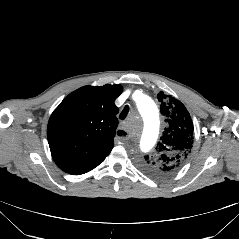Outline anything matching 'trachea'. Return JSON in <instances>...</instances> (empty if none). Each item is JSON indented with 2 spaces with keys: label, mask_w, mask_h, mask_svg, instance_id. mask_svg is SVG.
<instances>
[{
  "label": "trachea",
  "mask_w": 239,
  "mask_h": 239,
  "mask_svg": "<svg viewBox=\"0 0 239 239\" xmlns=\"http://www.w3.org/2000/svg\"><path fill=\"white\" fill-rule=\"evenodd\" d=\"M128 112H129V106L126 105V106L123 108L122 112L120 113L119 118H120L121 120H124V119L126 118Z\"/></svg>",
  "instance_id": "3493384b"
}]
</instances>
